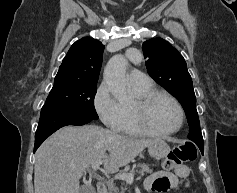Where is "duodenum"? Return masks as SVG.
<instances>
[{"instance_id": "1", "label": "duodenum", "mask_w": 237, "mask_h": 193, "mask_svg": "<svg viewBox=\"0 0 237 193\" xmlns=\"http://www.w3.org/2000/svg\"><path fill=\"white\" fill-rule=\"evenodd\" d=\"M96 191L97 193H107L105 184L102 182H98L96 184Z\"/></svg>"}]
</instances>
